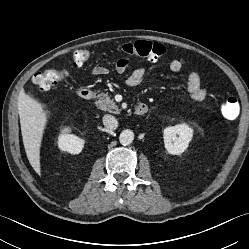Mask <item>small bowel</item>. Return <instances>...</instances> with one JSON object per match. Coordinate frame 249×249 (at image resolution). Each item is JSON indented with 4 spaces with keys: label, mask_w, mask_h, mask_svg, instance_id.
<instances>
[{
    "label": "small bowel",
    "mask_w": 249,
    "mask_h": 249,
    "mask_svg": "<svg viewBox=\"0 0 249 249\" xmlns=\"http://www.w3.org/2000/svg\"><path fill=\"white\" fill-rule=\"evenodd\" d=\"M184 65L183 59H174L170 62L169 68L172 72H179ZM128 67V61L126 59H119L116 64V70L118 73L122 74L126 71ZM108 68L103 64L96 65L91 74L93 76H102L108 73ZM144 76V70L142 68L135 69L127 79V83L130 86H137L140 84ZM191 99L194 101H202L207 96V90L202 85L201 78L198 73L192 72L188 76V83L186 88Z\"/></svg>",
    "instance_id": "1"
}]
</instances>
